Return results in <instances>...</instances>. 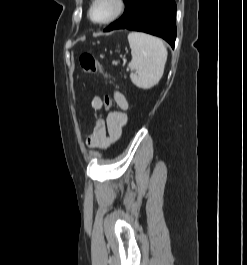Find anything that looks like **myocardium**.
I'll return each instance as SVG.
<instances>
[{"label":"myocardium","mask_w":247,"mask_h":265,"mask_svg":"<svg viewBox=\"0 0 247 265\" xmlns=\"http://www.w3.org/2000/svg\"><path fill=\"white\" fill-rule=\"evenodd\" d=\"M99 1L100 0H92L88 9L89 19L97 25H108L115 22L126 13L128 8L127 0H110L113 5V11L111 14L103 20H96L93 17V9Z\"/></svg>","instance_id":"myocardium-1"}]
</instances>
